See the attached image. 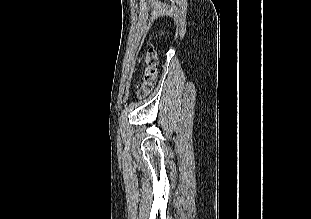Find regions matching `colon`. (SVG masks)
I'll list each match as a JSON object with an SVG mask.
<instances>
[{"label": "colon", "instance_id": "5ec220e1", "mask_svg": "<svg viewBox=\"0 0 311 219\" xmlns=\"http://www.w3.org/2000/svg\"><path fill=\"white\" fill-rule=\"evenodd\" d=\"M143 65V72L139 83L136 85L137 96L145 97L157 78L158 57L153 49H149L141 61Z\"/></svg>", "mask_w": 311, "mask_h": 219}]
</instances>
